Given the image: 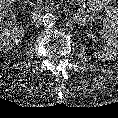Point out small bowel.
Returning <instances> with one entry per match:
<instances>
[{
    "instance_id": "small-bowel-1",
    "label": "small bowel",
    "mask_w": 118,
    "mask_h": 118,
    "mask_svg": "<svg viewBox=\"0 0 118 118\" xmlns=\"http://www.w3.org/2000/svg\"><path fill=\"white\" fill-rule=\"evenodd\" d=\"M91 9L94 11L104 10L112 22V27L118 33V7L108 5L107 0H92Z\"/></svg>"
}]
</instances>
